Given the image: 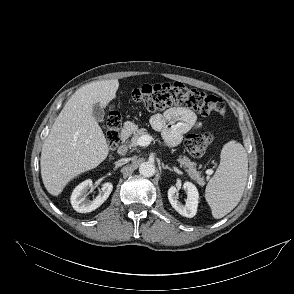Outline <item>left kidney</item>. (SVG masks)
Returning a JSON list of instances; mask_svg holds the SVG:
<instances>
[{
  "label": "left kidney",
  "mask_w": 294,
  "mask_h": 294,
  "mask_svg": "<svg viewBox=\"0 0 294 294\" xmlns=\"http://www.w3.org/2000/svg\"><path fill=\"white\" fill-rule=\"evenodd\" d=\"M183 188L187 194V198L185 204L183 205L177 200L175 193L177 192V188L175 186H171L168 189V199L172 207L182 216L187 218H192L196 215L199 193L194 184L191 182H185L183 184Z\"/></svg>",
  "instance_id": "left-kidney-1"
}]
</instances>
